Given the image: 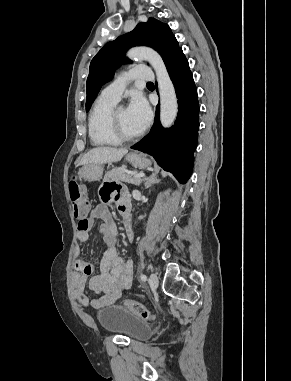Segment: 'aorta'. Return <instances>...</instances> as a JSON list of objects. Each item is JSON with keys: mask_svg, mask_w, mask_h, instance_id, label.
Segmentation results:
<instances>
[{"mask_svg": "<svg viewBox=\"0 0 291 381\" xmlns=\"http://www.w3.org/2000/svg\"><path fill=\"white\" fill-rule=\"evenodd\" d=\"M128 56L134 60L148 61L153 67L160 94V121L164 127H170L177 117L178 103L173 83L161 56L148 47L132 48Z\"/></svg>", "mask_w": 291, "mask_h": 381, "instance_id": "obj_1", "label": "aorta"}]
</instances>
